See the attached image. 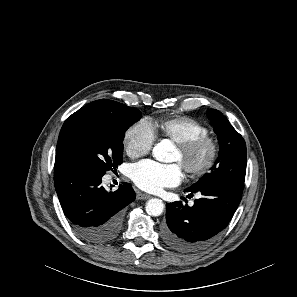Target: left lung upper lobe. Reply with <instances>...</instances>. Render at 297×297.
I'll return each mask as SVG.
<instances>
[{
    "instance_id": "1",
    "label": "left lung upper lobe",
    "mask_w": 297,
    "mask_h": 297,
    "mask_svg": "<svg viewBox=\"0 0 297 297\" xmlns=\"http://www.w3.org/2000/svg\"><path fill=\"white\" fill-rule=\"evenodd\" d=\"M207 115L218 135L219 156L211 171L190 188L195 189L215 182L244 184L246 174V144L244 139L218 110L209 109Z\"/></svg>"
}]
</instances>
